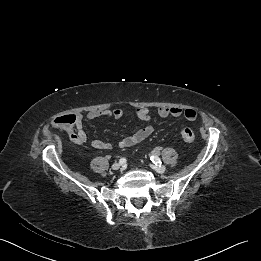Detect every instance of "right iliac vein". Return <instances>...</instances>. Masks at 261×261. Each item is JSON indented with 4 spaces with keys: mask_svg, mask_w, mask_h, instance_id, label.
Masks as SVG:
<instances>
[{
    "mask_svg": "<svg viewBox=\"0 0 261 261\" xmlns=\"http://www.w3.org/2000/svg\"><path fill=\"white\" fill-rule=\"evenodd\" d=\"M120 167H121V164H120V163H114V164L112 165V169H113V170H118V169H120Z\"/></svg>",
    "mask_w": 261,
    "mask_h": 261,
    "instance_id": "right-iliac-vein-1",
    "label": "right iliac vein"
}]
</instances>
